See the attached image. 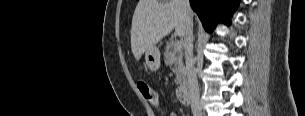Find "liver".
<instances>
[{
    "label": "liver",
    "instance_id": "obj_1",
    "mask_svg": "<svg viewBox=\"0 0 305 116\" xmlns=\"http://www.w3.org/2000/svg\"><path fill=\"white\" fill-rule=\"evenodd\" d=\"M189 16L193 17L192 10ZM186 19L182 0H139L131 27V50L138 61L142 54L175 29L184 37Z\"/></svg>",
    "mask_w": 305,
    "mask_h": 116
}]
</instances>
